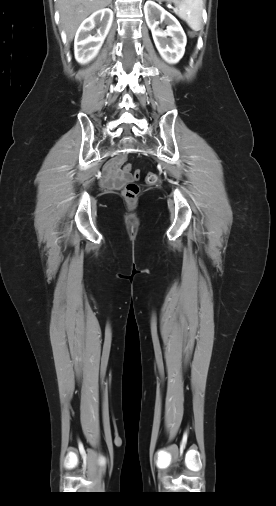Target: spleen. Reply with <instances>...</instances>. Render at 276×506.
I'll use <instances>...</instances> for the list:
<instances>
[{
    "mask_svg": "<svg viewBox=\"0 0 276 506\" xmlns=\"http://www.w3.org/2000/svg\"><path fill=\"white\" fill-rule=\"evenodd\" d=\"M177 15L194 31L202 27L203 0H174Z\"/></svg>",
    "mask_w": 276,
    "mask_h": 506,
    "instance_id": "3e777b00",
    "label": "spleen"
}]
</instances>
